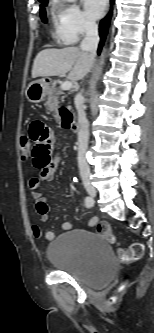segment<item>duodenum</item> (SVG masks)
<instances>
[{
  "label": "duodenum",
  "mask_w": 154,
  "mask_h": 333,
  "mask_svg": "<svg viewBox=\"0 0 154 333\" xmlns=\"http://www.w3.org/2000/svg\"><path fill=\"white\" fill-rule=\"evenodd\" d=\"M70 128H71V131L75 134H77L79 132V123L76 118H73V117L71 118Z\"/></svg>",
  "instance_id": "duodenum-1"
}]
</instances>
